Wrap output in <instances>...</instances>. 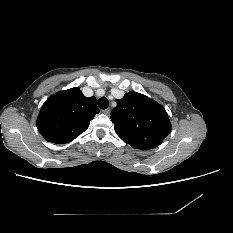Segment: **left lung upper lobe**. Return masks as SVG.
I'll return each instance as SVG.
<instances>
[{"label": "left lung upper lobe", "mask_w": 233, "mask_h": 233, "mask_svg": "<svg viewBox=\"0 0 233 233\" xmlns=\"http://www.w3.org/2000/svg\"><path fill=\"white\" fill-rule=\"evenodd\" d=\"M111 112L116 134L135 149L149 150L159 146L171 132L166 110L149 97L131 91Z\"/></svg>", "instance_id": "left-lung-upper-lobe-1"}]
</instances>
